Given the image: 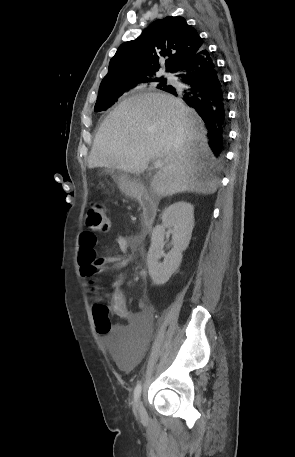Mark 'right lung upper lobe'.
Returning <instances> with one entry per match:
<instances>
[{"label": "right lung upper lobe", "mask_w": 295, "mask_h": 457, "mask_svg": "<svg viewBox=\"0 0 295 457\" xmlns=\"http://www.w3.org/2000/svg\"><path fill=\"white\" fill-rule=\"evenodd\" d=\"M202 46L203 40L183 17L157 20L137 39L120 45L99 92L141 85L154 78L162 67L166 72H174Z\"/></svg>", "instance_id": "right-lung-upper-lobe-1"}]
</instances>
